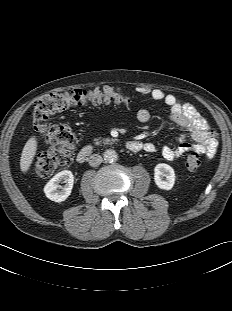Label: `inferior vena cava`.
Returning <instances> with one entry per match:
<instances>
[{"label": "inferior vena cava", "instance_id": "1", "mask_svg": "<svg viewBox=\"0 0 232 311\" xmlns=\"http://www.w3.org/2000/svg\"><path fill=\"white\" fill-rule=\"evenodd\" d=\"M102 162V157L98 154H93L89 157V165L92 167H96L100 165Z\"/></svg>", "mask_w": 232, "mask_h": 311}]
</instances>
